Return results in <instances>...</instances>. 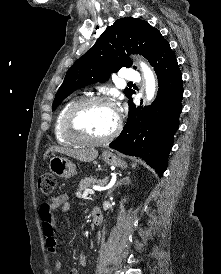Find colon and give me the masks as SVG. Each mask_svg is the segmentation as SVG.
I'll use <instances>...</instances> for the list:
<instances>
[{"label":"colon","mask_w":221,"mask_h":274,"mask_svg":"<svg viewBox=\"0 0 221 274\" xmlns=\"http://www.w3.org/2000/svg\"><path fill=\"white\" fill-rule=\"evenodd\" d=\"M38 186L45 195L53 193L56 187V178L52 173H45L39 178Z\"/></svg>","instance_id":"5ec220e1"}]
</instances>
